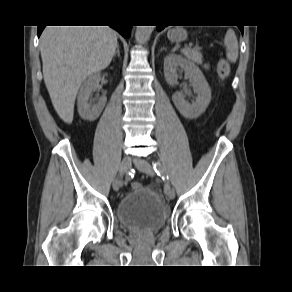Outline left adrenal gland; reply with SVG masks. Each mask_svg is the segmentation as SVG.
<instances>
[{
    "instance_id": "a2214340",
    "label": "left adrenal gland",
    "mask_w": 292,
    "mask_h": 292,
    "mask_svg": "<svg viewBox=\"0 0 292 292\" xmlns=\"http://www.w3.org/2000/svg\"><path fill=\"white\" fill-rule=\"evenodd\" d=\"M162 50H166V49L163 47V48H161V51H162Z\"/></svg>"
}]
</instances>
